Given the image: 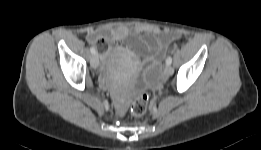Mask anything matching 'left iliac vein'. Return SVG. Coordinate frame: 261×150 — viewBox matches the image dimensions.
Wrapping results in <instances>:
<instances>
[{
    "label": "left iliac vein",
    "instance_id": "left-iliac-vein-1",
    "mask_svg": "<svg viewBox=\"0 0 261 150\" xmlns=\"http://www.w3.org/2000/svg\"><path fill=\"white\" fill-rule=\"evenodd\" d=\"M164 73L167 76H171L174 73V69L170 65L166 64L165 69H164Z\"/></svg>",
    "mask_w": 261,
    "mask_h": 150
}]
</instances>
